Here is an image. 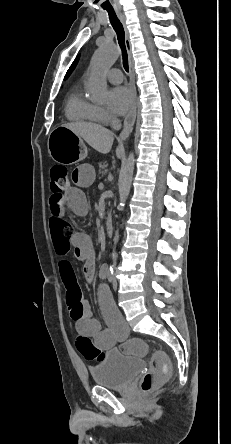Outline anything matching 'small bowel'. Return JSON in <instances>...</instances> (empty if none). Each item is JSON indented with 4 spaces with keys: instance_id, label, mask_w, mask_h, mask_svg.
Returning <instances> with one entry per match:
<instances>
[{
    "instance_id": "small-bowel-1",
    "label": "small bowel",
    "mask_w": 231,
    "mask_h": 444,
    "mask_svg": "<svg viewBox=\"0 0 231 444\" xmlns=\"http://www.w3.org/2000/svg\"><path fill=\"white\" fill-rule=\"evenodd\" d=\"M69 177L72 183L69 191L60 198L50 197L49 231L55 251L60 256L59 272L66 289V301L75 328L80 335L90 338L100 350H108L126 339L129 333L128 325L116 309L108 288L100 286L99 303L107 320V327H101L100 322L92 316L90 304L82 297L72 264L66 258L72 251L73 257L84 263L87 278L92 279L95 261L92 241L86 233L75 231L64 215L67 207L77 215L87 213L88 204L81 188L94 182L95 170L90 164H80ZM104 272L105 268L100 271L101 277Z\"/></svg>"
}]
</instances>
